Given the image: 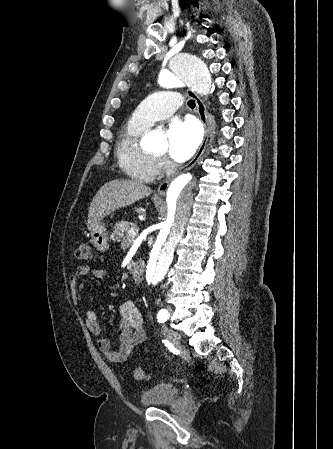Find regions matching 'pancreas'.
I'll return each instance as SVG.
<instances>
[{"label":"pancreas","mask_w":333,"mask_h":449,"mask_svg":"<svg viewBox=\"0 0 333 449\" xmlns=\"http://www.w3.org/2000/svg\"><path fill=\"white\" fill-rule=\"evenodd\" d=\"M131 228H136L135 224L128 222V221H121L115 224L114 231L111 235V239L114 242H120L123 240L126 244H132V242L135 240L136 236L129 235V230ZM125 234V236H124Z\"/></svg>","instance_id":"1"}]
</instances>
